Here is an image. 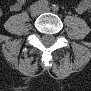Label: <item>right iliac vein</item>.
Instances as JSON below:
<instances>
[{
	"label": "right iliac vein",
	"mask_w": 91,
	"mask_h": 91,
	"mask_svg": "<svg viewBox=\"0 0 91 91\" xmlns=\"http://www.w3.org/2000/svg\"><path fill=\"white\" fill-rule=\"evenodd\" d=\"M40 13H41V10L38 9V8H36V9H34V10L31 11V16L32 17H37V16L40 15Z\"/></svg>",
	"instance_id": "1"
}]
</instances>
